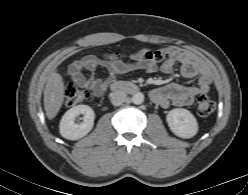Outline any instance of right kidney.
Instances as JSON below:
<instances>
[{"mask_svg":"<svg viewBox=\"0 0 248 195\" xmlns=\"http://www.w3.org/2000/svg\"><path fill=\"white\" fill-rule=\"evenodd\" d=\"M83 115V122L76 123V118ZM95 113L87 105H77L69 109L60 121V134L69 140H78L86 136L93 128Z\"/></svg>","mask_w":248,"mask_h":195,"instance_id":"1","label":"right kidney"}]
</instances>
